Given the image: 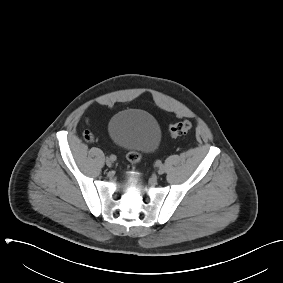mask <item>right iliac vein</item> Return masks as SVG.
<instances>
[{"label": "right iliac vein", "instance_id": "right-iliac-vein-1", "mask_svg": "<svg viewBox=\"0 0 283 283\" xmlns=\"http://www.w3.org/2000/svg\"><path fill=\"white\" fill-rule=\"evenodd\" d=\"M112 163H113V161H112L110 158H107V159H106V165H107L108 167H111V166H112Z\"/></svg>", "mask_w": 283, "mask_h": 283}]
</instances>
